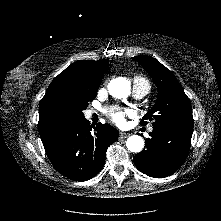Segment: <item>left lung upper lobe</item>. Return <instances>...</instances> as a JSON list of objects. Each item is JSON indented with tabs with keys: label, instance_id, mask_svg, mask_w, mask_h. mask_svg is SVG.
I'll return each instance as SVG.
<instances>
[{
	"label": "left lung upper lobe",
	"instance_id": "1",
	"mask_svg": "<svg viewBox=\"0 0 221 221\" xmlns=\"http://www.w3.org/2000/svg\"><path fill=\"white\" fill-rule=\"evenodd\" d=\"M139 62L156 82L158 96L155 105L143 117L153 121V127H173L186 130L193 129V116L190 100L174 74L157 59L150 56H136Z\"/></svg>",
	"mask_w": 221,
	"mask_h": 221
}]
</instances>
